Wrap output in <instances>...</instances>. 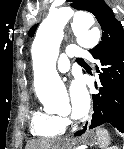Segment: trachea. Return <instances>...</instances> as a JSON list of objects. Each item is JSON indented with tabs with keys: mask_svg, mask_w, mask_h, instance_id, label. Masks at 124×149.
Returning a JSON list of instances; mask_svg holds the SVG:
<instances>
[{
	"mask_svg": "<svg viewBox=\"0 0 124 149\" xmlns=\"http://www.w3.org/2000/svg\"><path fill=\"white\" fill-rule=\"evenodd\" d=\"M76 60H82L81 58H79V59H76Z\"/></svg>",
	"mask_w": 124,
	"mask_h": 149,
	"instance_id": "obj_1",
	"label": "trachea"
}]
</instances>
